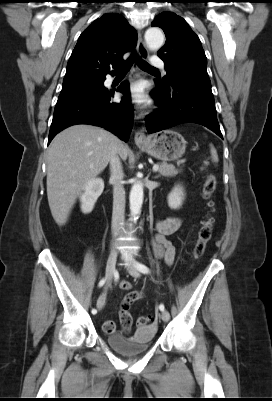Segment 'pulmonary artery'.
Returning <instances> with one entry per match:
<instances>
[{
    "label": "pulmonary artery",
    "mask_w": 272,
    "mask_h": 401,
    "mask_svg": "<svg viewBox=\"0 0 272 401\" xmlns=\"http://www.w3.org/2000/svg\"><path fill=\"white\" fill-rule=\"evenodd\" d=\"M150 65L152 67H158V68H163L164 67V61L159 58V57H152L150 60Z\"/></svg>",
    "instance_id": "1"
}]
</instances>
